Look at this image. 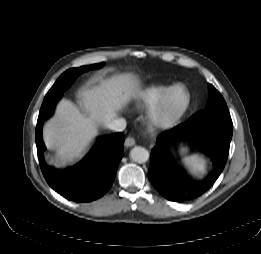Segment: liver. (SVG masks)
<instances>
[{
    "mask_svg": "<svg viewBox=\"0 0 261 254\" xmlns=\"http://www.w3.org/2000/svg\"><path fill=\"white\" fill-rule=\"evenodd\" d=\"M139 90L140 82L132 74L117 75L99 85L81 89V105L88 116L71 101L61 100L55 116L44 126L47 146L61 156V159H51L50 163L65 165L81 157L98 134V127L116 118L137 98Z\"/></svg>",
    "mask_w": 261,
    "mask_h": 254,
    "instance_id": "1",
    "label": "liver"
}]
</instances>
